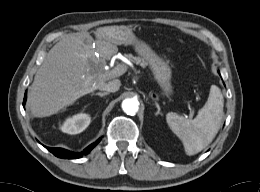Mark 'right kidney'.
Here are the masks:
<instances>
[{
  "label": "right kidney",
  "mask_w": 260,
  "mask_h": 192,
  "mask_svg": "<svg viewBox=\"0 0 260 192\" xmlns=\"http://www.w3.org/2000/svg\"><path fill=\"white\" fill-rule=\"evenodd\" d=\"M91 118L87 114H77L68 118L62 125V131L68 134H78L85 130L90 124Z\"/></svg>",
  "instance_id": "obj_1"
}]
</instances>
